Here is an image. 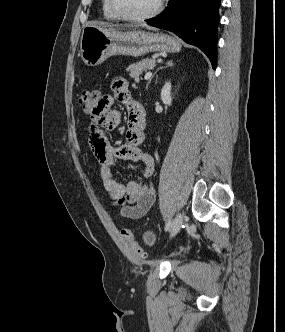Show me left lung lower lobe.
<instances>
[{
	"instance_id": "left-lung-lower-lobe-1",
	"label": "left lung lower lobe",
	"mask_w": 285,
	"mask_h": 332,
	"mask_svg": "<svg viewBox=\"0 0 285 332\" xmlns=\"http://www.w3.org/2000/svg\"><path fill=\"white\" fill-rule=\"evenodd\" d=\"M220 4L221 0H171L167 10L146 22L199 47L215 69Z\"/></svg>"
}]
</instances>
